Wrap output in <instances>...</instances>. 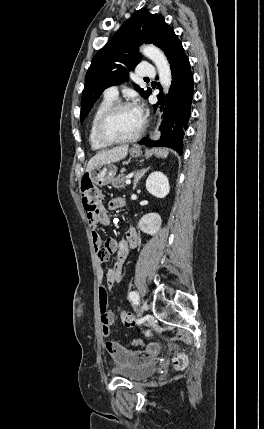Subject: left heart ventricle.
<instances>
[{
	"mask_svg": "<svg viewBox=\"0 0 264 429\" xmlns=\"http://www.w3.org/2000/svg\"><path fill=\"white\" fill-rule=\"evenodd\" d=\"M141 124V117L133 107L115 112L105 125V133L111 138H127L133 135Z\"/></svg>",
	"mask_w": 264,
	"mask_h": 429,
	"instance_id": "left-heart-ventricle-1",
	"label": "left heart ventricle"
}]
</instances>
